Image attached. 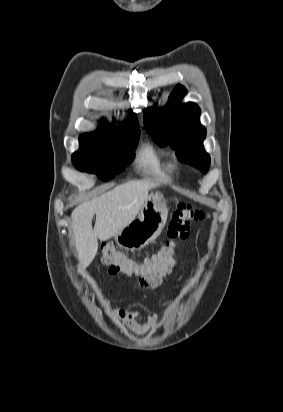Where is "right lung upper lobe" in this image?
<instances>
[{"mask_svg":"<svg viewBox=\"0 0 283 412\" xmlns=\"http://www.w3.org/2000/svg\"><path fill=\"white\" fill-rule=\"evenodd\" d=\"M139 133L140 130L136 115L131 113V116L126 120V122L120 123L117 128L106 125L105 128L99 129L93 133L84 134L82 136L113 139L132 136Z\"/></svg>","mask_w":283,"mask_h":412,"instance_id":"1","label":"right lung upper lobe"}]
</instances>
